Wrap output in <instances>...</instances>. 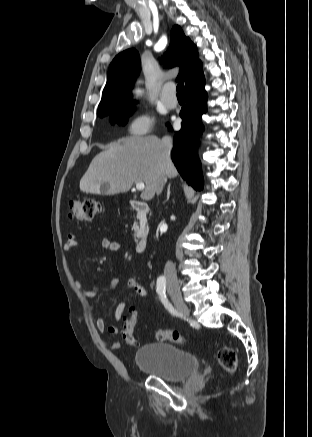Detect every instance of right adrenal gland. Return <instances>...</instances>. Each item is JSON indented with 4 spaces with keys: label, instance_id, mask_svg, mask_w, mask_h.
<instances>
[{
    "label": "right adrenal gland",
    "instance_id": "2a0ac1e0",
    "mask_svg": "<svg viewBox=\"0 0 312 437\" xmlns=\"http://www.w3.org/2000/svg\"><path fill=\"white\" fill-rule=\"evenodd\" d=\"M166 182H167V179H166L165 183ZM170 187H171V184H169L168 188H167V197H166V200H169V198H170Z\"/></svg>",
    "mask_w": 312,
    "mask_h": 437
}]
</instances>
